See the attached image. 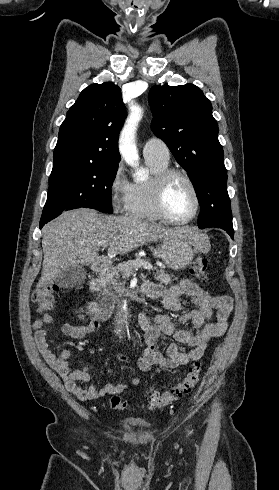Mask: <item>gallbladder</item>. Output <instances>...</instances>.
I'll return each mask as SVG.
<instances>
[{"label":"gallbladder","instance_id":"1","mask_svg":"<svg viewBox=\"0 0 279 490\" xmlns=\"http://www.w3.org/2000/svg\"><path fill=\"white\" fill-rule=\"evenodd\" d=\"M87 272L83 266H69L62 270L58 278H55L60 288H79L86 280Z\"/></svg>","mask_w":279,"mask_h":490}]
</instances>
